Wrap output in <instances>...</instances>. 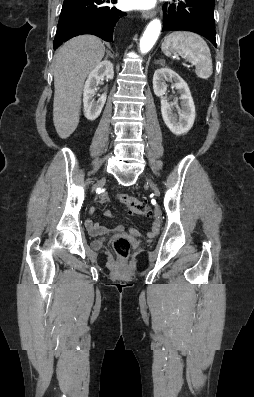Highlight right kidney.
Wrapping results in <instances>:
<instances>
[{"label":"right kidney","instance_id":"1","mask_svg":"<svg viewBox=\"0 0 254 397\" xmlns=\"http://www.w3.org/2000/svg\"><path fill=\"white\" fill-rule=\"evenodd\" d=\"M114 70L113 64L110 61H102L89 74L83 90V104L85 117L93 121L101 113L102 108L106 102V94L99 95L98 100L94 99L95 92L100 80L113 79Z\"/></svg>","mask_w":254,"mask_h":397}]
</instances>
